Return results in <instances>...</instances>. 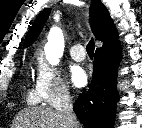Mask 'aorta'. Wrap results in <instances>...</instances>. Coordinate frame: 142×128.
<instances>
[{"mask_svg":"<svg viewBox=\"0 0 142 128\" xmlns=\"http://www.w3.org/2000/svg\"><path fill=\"white\" fill-rule=\"evenodd\" d=\"M65 43L63 32L58 27H53L48 34L45 45L46 57L51 64H57L64 51Z\"/></svg>","mask_w":142,"mask_h":128,"instance_id":"aorta-1","label":"aorta"}]
</instances>
